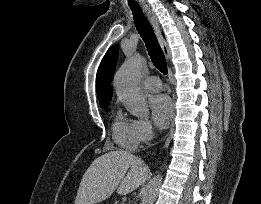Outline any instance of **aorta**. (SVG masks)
<instances>
[{
	"mask_svg": "<svg viewBox=\"0 0 261 204\" xmlns=\"http://www.w3.org/2000/svg\"><path fill=\"white\" fill-rule=\"evenodd\" d=\"M144 65V58L136 54L120 67L114 78L118 97L133 116L140 118L149 115V107L140 88V76ZM161 182V175L154 176L150 180L143 193L141 204H153L155 202Z\"/></svg>",
	"mask_w": 261,
	"mask_h": 204,
	"instance_id": "obj_1",
	"label": "aorta"
}]
</instances>
